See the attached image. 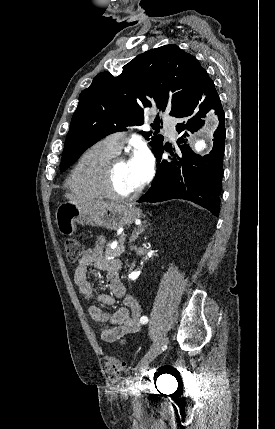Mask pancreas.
I'll use <instances>...</instances> for the list:
<instances>
[{
    "label": "pancreas",
    "mask_w": 275,
    "mask_h": 429,
    "mask_svg": "<svg viewBox=\"0 0 275 429\" xmlns=\"http://www.w3.org/2000/svg\"><path fill=\"white\" fill-rule=\"evenodd\" d=\"M122 237L119 238L118 240V245L115 248H111L110 245H107L106 251H105V256L106 257H119L121 254H123L125 252V247L122 244Z\"/></svg>",
    "instance_id": "cf45deb5"
}]
</instances>
